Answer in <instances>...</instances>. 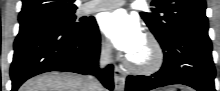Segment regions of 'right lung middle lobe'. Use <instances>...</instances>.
I'll return each instance as SVG.
<instances>
[{
    "instance_id": "right-lung-middle-lobe-1",
    "label": "right lung middle lobe",
    "mask_w": 220,
    "mask_h": 91,
    "mask_svg": "<svg viewBox=\"0 0 220 91\" xmlns=\"http://www.w3.org/2000/svg\"><path fill=\"white\" fill-rule=\"evenodd\" d=\"M76 7L61 12H55L48 14L40 19H49L53 22H56L64 27L74 29V30H82L84 27H87L91 21L87 22H75L76 16L74 15Z\"/></svg>"
}]
</instances>
